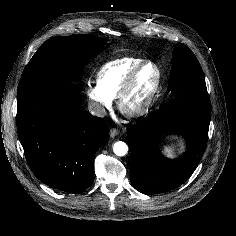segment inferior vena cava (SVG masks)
<instances>
[{
    "mask_svg": "<svg viewBox=\"0 0 236 236\" xmlns=\"http://www.w3.org/2000/svg\"><path fill=\"white\" fill-rule=\"evenodd\" d=\"M88 110L93 116L104 117L107 114L105 108L94 101L88 103Z\"/></svg>",
    "mask_w": 236,
    "mask_h": 236,
    "instance_id": "inferior-vena-cava-1",
    "label": "inferior vena cava"
}]
</instances>
